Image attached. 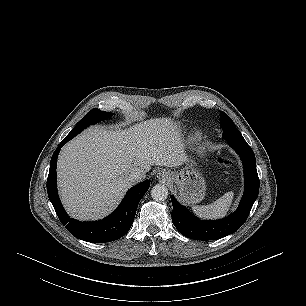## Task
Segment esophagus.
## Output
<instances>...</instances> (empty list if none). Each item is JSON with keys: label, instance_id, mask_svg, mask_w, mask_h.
<instances>
[{"label": "esophagus", "instance_id": "34e87169", "mask_svg": "<svg viewBox=\"0 0 306 306\" xmlns=\"http://www.w3.org/2000/svg\"><path fill=\"white\" fill-rule=\"evenodd\" d=\"M157 178L161 181H167L169 179V174L166 171L160 170L157 173Z\"/></svg>", "mask_w": 306, "mask_h": 306}]
</instances>
